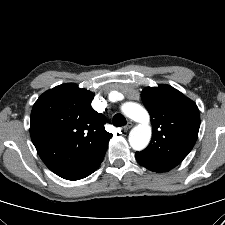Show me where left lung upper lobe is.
<instances>
[{
    "label": "left lung upper lobe",
    "mask_w": 225,
    "mask_h": 225,
    "mask_svg": "<svg viewBox=\"0 0 225 225\" xmlns=\"http://www.w3.org/2000/svg\"><path fill=\"white\" fill-rule=\"evenodd\" d=\"M141 99L151 116L153 136L148 147L137 154L170 170L189 154L197 140L198 107L168 85L145 88Z\"/></svg>",
    "instance_id": "5c2ea615"
}]
</instances>
